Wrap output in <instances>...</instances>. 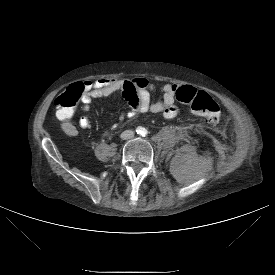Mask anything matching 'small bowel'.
Segmentation results:
<instances>
[{
	"label": "small bowel",
	"mask_w": 275,
	"mask_h": 275,
	"mask_svg": "<svg viewBox=\"0 0 275 275\" xmlns=\"http://www.w3.org/2000/svg\"><path fill=\"white\" fill-rule=\"evenodd\" d=\"M82 91L83 109L88 111L90 104L94 99L107 97L117 91H122L123 99L130 104L131 108L126 111L122 108L116 124L113 128L121 125L126 118L133 117L136 114L152 112L162 113L166 118L176 117L180 110L176 105V93L179 85L176 83H165L160 90L162 97L157 101H152L151 93L155 89L145 78H135L133 80L117 78H99L95 80H85L77 83ZM58 116V115H57ZM61 121L63 119L58 116ZM90 124L88 116H82L79 120L81 128H86ZM61 133L69 138L78 134V125L71 120L64 121L60 127Z\"/></svg>",
	"instance_id": "c3829d8e"
}]
</instances>
